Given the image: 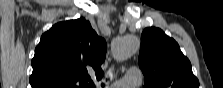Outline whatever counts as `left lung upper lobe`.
I'll use <instances>...</instances> for the list:
<instances>
[{"label": "left lung upper lobe", "instance_id": "5c2ea615", "mask_svg": "<svg viewBox=\"0 0 223 88\" xmlns=\"http://www.w3.org/2000/svg\"><path fill=\"white\" fill-rule=\"evenodd\" d=\"M138 62L145 76L144 88H199L190 61L159 28L143 31Z\"/></svg>", "mask_w": 223, "mask_h": 88}]
</instances>
